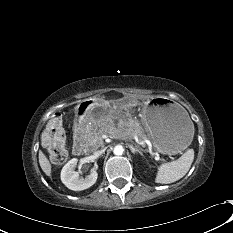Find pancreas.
Listing matches in <instances>:
<instances>
[{
  "mask_svg": "<svg viewBox=\"0 0 233 233\" xmlns=\"http://www.w3.org/2000/svg\"><path fill=\"white\" fill-rule=\"evenodd\" d=\"M134 134H137L142 139L145 138V135L139 126H135V128L130 127L124 133L122 132V127L119 126L116 128L113 121L107 119L99 123L88 125L85 129L84 141L87 148L96 150L103 146V135H109L119 139H128Z\"/></svg>",
  "mask_w": 233,
  "mask_h": 233,
  "instance_id": "1",
  "label": "pancreas"
}]
</instances>
